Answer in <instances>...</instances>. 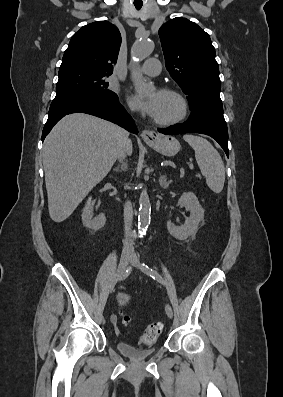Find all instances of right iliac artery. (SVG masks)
<instances>
[{
    "mask_svg": "<svg viewBox=\"0 0 283 397\" xmlns=\"http://www.w3.org/2000/svg\"><path fill=\"white\" fill-rule=\"evenodd\" d=\"M130 272H131V267H128L126 272H125V275H128Z\"/></svg>",
    "mask_w": 283,
    "mask_h": 397,
    "instance_id": "right-iliac-artery-1",
    "label": "right iliac artery"
}]
</instances>
